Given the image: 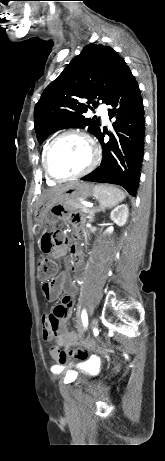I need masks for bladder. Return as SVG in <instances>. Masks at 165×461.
Returning <instances> with one entry per match:
<instances>
[{"label": "bladder", "mask_w": 165, "mask_h": 461, "mask_svg": "<svg viewBox=\"0 0 165 461\" xmlns=\"http://www.w3.org/2000/svg\"><path fill=\"white\" fill-rule=\"evenodd\" d=\"M94 362L93 361H87L86 363L83 364V369L86 371H92L94 369Z\"/></svg>", "instance_id": "1"}]
</instances>
